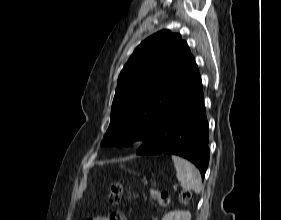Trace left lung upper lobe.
<instances>
[{"instance_id": "1", "label": "left lung upper lobe", "mask_w": 281, "mask_h": 220, "mask_svg": "<svg viewBox=\"0 0 281 220\" xmlns=\"http://www.w3.org/2000/svg\"><path fill=\"white\" fill-rule=\"evenodd\" d=\"M198 71L179 34L162 30L143 41L118 77L104 146L146 143L181 90ZM141 144V145H142Z\"/></svg>"}]
</instances>
